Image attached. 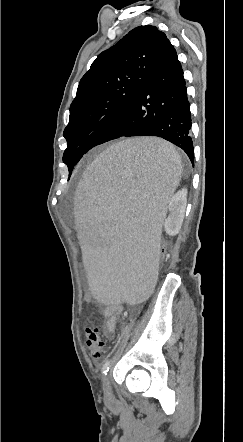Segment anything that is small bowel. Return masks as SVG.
<instances>
[{"label":"small bowel","mask_w":243,"mask_h":442,"mask_svg":"<svg viewBox=\"0 0 243 442\" xmlns=\"http://www.w3.org/2000/svg\"><path fill=\"white\" fill-rule=\"evenodd\" d=\"M121 312H122V308L120 305L118 307L108 306L104 311V317H105L104 329H105L106 336L109 339H112L115 336L116 327H117V320H118V317L120 316Z\"/></svg>","instance_id":"small-bowel-1"}]
</instances>
